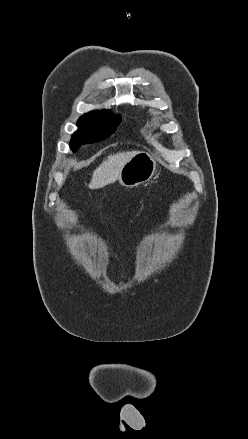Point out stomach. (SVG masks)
I'll use <instances>...</instances> for the list:
<instances>
[{
    "label": "stomach",
    "instance_id": "1",
    "mask_svg": "<svg viewBox=\"0 0 248 439\" xmlns=\"http://www.w3.org/2000/svg\"><path fill=\"white\" fill-rule=\"evenodd\" d=\"M155 171V159L146 151H138L123 166L117 179L122 186L134 188L148 182Z\"/></svg>",
    "mask_w": 248,
    "mask_h": 439
}]
</instances>
